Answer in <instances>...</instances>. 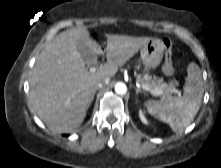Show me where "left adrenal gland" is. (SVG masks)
<instances>
[{
  "label": "left adrenal gland",
  "mask_w": 221,
  "mask_h": 168,
  "mask_svg": "<svg viewBox=\"0 0 221 168\" xmlns=\"http://www.w3.org/2000/svg\"><path fill=\"white\" fill-rule=\"evenodd\" d=\"M134 89H135V91H136V95H138V93H141V92H142V90H140V89H138V88H136V87H134Z\"/></svg>",
  "instance_id": "a2214340"
}]
</instances>
